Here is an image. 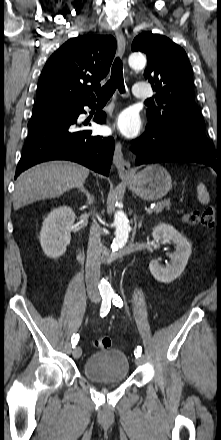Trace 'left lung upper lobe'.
Segmentation results:
<instances>
[{
  "mask_svg": "<svg viewBox=\"0 0 221 440\" xmlns=\"http://www.w3.org/2000/svg\"><path fill=\"white\" fill-rule=\"evenodd\" d=\"M131 49L147 55L144 76L156 92L158 107L146 110L149 124L162 127L170 121H185L205 127L194 101L193 72L186 52L169 38L150 31L138 35Z\"/></svg>",
  "mask_w": 221,
  "mask_h": 440,
  "instance_id": "left-lung-upper-lobe-1",
  "label": "left lung upper lobe"
}]
</instances>
